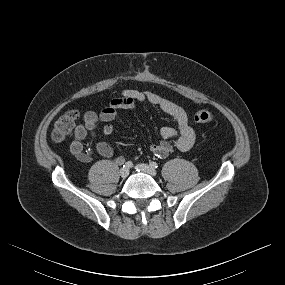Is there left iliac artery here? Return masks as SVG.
I'll list each match as a JSON object with an SVG mask.
<instances>
[{
  "instance_id": "left-iliac-artery-1",
  "label": "left iliac artery",
  "mask_w": 285,
  "mask_h": 285,
  "mask_svg": "<svg viewBox=\"0 0 285 285\" xmlns=\"http://www.w3.org/2000/svg\"><path fill=\"white\" fill-rule=\"evenodd\" d=\"M150 166L153 167V168H157L158 164L153 161V162H150Z\"/></svg>"
}]
</instances>
